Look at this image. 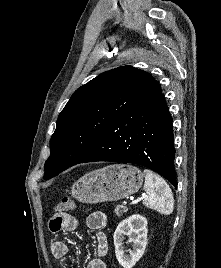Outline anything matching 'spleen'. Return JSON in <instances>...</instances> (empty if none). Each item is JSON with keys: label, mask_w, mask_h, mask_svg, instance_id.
I'll return each instance as SVG.
<instances>
[{"label": "spleen", "mask_w": 221, "mask_h": 268, "mask_svg": "<svg viewBox=\"0 0 221 268\" xmlns=\"http://www.w3.org/2000/svg\"><path fill=\"white\" fill-rule=\"evenodd\" d=\"M145 183L143 204L164 215H170L174 209L172 191L166 181L149 169L144 170Z\"/></svg>", "instance_id": "3e777b00"}]
</instances>
